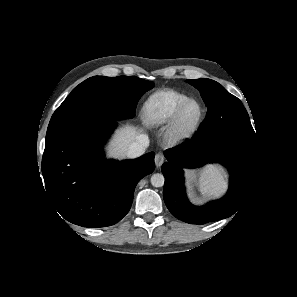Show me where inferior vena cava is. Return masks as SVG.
Returning <instances> with one entry per match:
<instances>
[{"label": "inferior vena cava", "mask_w": 297, "mask_h": 297, "mask_svg": "<svg viewBox=\"0 0 297 297\" xmlns=\"http://www.w3.org/2000/svg\"><path fill=\"white\" fill-rule=\"evenodd\" d=\"M148 145H149L148 136L145 134L138 135L136 142L132 143L129 146L127 151V156L129 158H136L143 155Z\"/></svg>", "instance_id": "inferior-vena-cava-1"}]
</instances>
